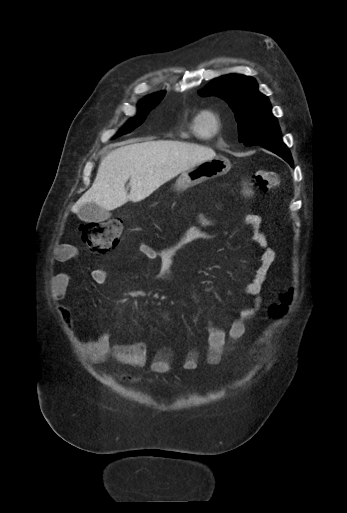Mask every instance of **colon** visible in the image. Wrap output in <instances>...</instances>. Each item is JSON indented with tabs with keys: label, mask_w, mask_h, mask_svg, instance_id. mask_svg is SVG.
Instances as JSON below:
<instances>
[{
	"label": "colon",
	"mask_w": 347,
	"mask_h": 513,
	"mask_svg": "<svg viewBox=\"0 0 347 513\" xmlns=\"http://www.w3.org/2000/svg\"><path fill=\"white\" fill-rule=\"evenodd\" d=\"M279 183L278 174L269 170H258L244 182V193L249 196L253 192L267 194ZM82 240L99 255H105L115 250L120 244L123 234V223L118 218L102 222L85 223L80 227ZM73 253V251H72ZM293 299V290L286 289L280 293L278 303L271 306L275 315L284 314Z\"/></svg>",
	"instance_id": "colon-1"
}]
</instances>
